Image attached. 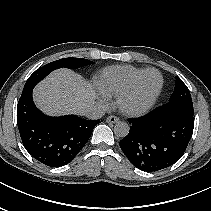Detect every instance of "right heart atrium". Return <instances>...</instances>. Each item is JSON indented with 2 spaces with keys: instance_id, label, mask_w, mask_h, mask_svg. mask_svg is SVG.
Returning a JSON list of instances; mask_svg holds the SVG:
<instances>
[{
  "instance_id": "1",
  "label": "right heart atrium",
  "mask_w": 211,
  "mask_h": 211,
  "mask_svg": "<svg viewBox=\"0 0 211 211\" xmlns=\"http://www.w3.org/2000/svg\"><path fill=\"white\" fill-rule=\"evenodd\" d=\"M100 99H101L102 102L105 103L108 100V95L105 94V93H101Z\"/></svg>"
}]
</instances>
